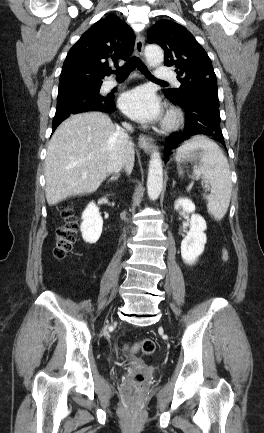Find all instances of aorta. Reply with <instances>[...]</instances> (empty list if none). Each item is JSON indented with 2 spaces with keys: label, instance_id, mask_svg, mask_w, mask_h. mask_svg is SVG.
<instances>
[{
  "label": "aorta",
  "instance_id": "762f6f07",
  "mask_svg": "<svg viewBox=\"0 0 264 433\" xmlns=\"http://www.w3.org/2000/svg\"><path fill=\"white\" fill-rule=\"evenodd\" d=\"M145 57L150 66L160 65L164 59L163 50L157 45H147L145 48ZM163 188V167L160 153L153 151L150 161L147 178V193L151 200H156Z\"/></svg>",
  "mask_w": 264,
  "mask_h": 433
}]
</instances>
